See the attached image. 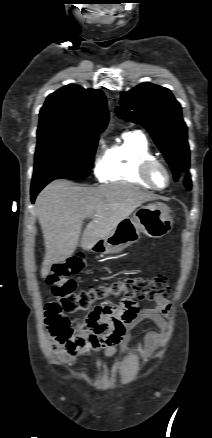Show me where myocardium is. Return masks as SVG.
<instances>
[{"mask_svg":"<svg viewBox=\"0 0 212 438\" xmlns=\"http://www.w3.org/2000/svg\"><path fill=\"white\" fill-rule=\"evenodd\" d=\"M155 166L162 167L167 175L168 181L164 187L156 186L151 180L150 173H151L152 168ZM138 175L146 184H148L152 189L157 190V191H162V190L167 189L170 186L171 181H172V175H171V172H170L168 166L163 161H161L157 158H148V159L143 160L138 168Z\"/></svg>","mask_w":212,"mask_h":438,"instance_id":"obj_1","label":"myocardium"}]
</instances>
